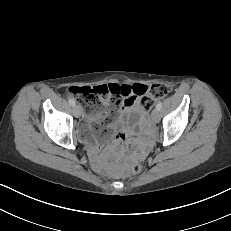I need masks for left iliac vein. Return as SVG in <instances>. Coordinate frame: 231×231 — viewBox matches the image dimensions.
<instances>
[{"label":"left iliac vein","instance_id":"left-iliac-vein-1","mask_svg":"<svg viewBox=\"0 0 231 231\" xmlns=\"http://www.w3.org/2000/svg\"><path fill=\"white\" fill-rule=\"evenodd\" d=\"M152 120L157 123L160 120V112L158 109H154L151 114Z\"/></svg>","mask_w":231,"mask_h":231}]
</instances>
